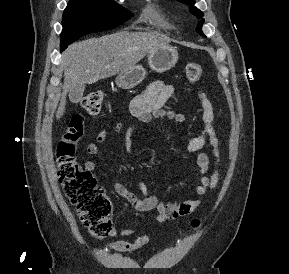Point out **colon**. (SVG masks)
Here are the masks:
<instances>
[{
  "mask_svg": "<svg viewBox=\"0 0 289 274\" xmlns=\"http://www.w3.org/2000/svg\"><path fill=\"white\" fill-rule=\"evenodd\" d=\"M185 75L189 83H196L202 75L201 65L187 64ZM81 105L89 114H99L102 109V94L88 93L82 98ZM84 130V118L81 115H74L56 147L58 178L83 225L93 237L103 238L112 232L113 206L105 189L98 184L91 172L82 168L76 159L77 144ZM200 223V219H193L191 228L197 229Z\"/></svg>",
  "mask_w": 289,
  "mask_h": 274,
  "instance_id": "colon-1",
  "label": "colon"
}]
</instances>
